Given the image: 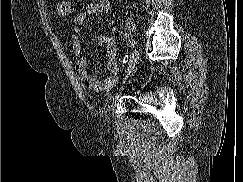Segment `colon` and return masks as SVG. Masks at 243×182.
<instances>
[{
	"label": "colon",
	"mask_w": 243,
	"mask_h": 182,
	"mask_svg": "<svg viewBox=\"0 0 243 182\" xmlns=\"http://www.w3.org/2000/svg\"><path fill=\"white\" fill-rule=\"evenodd\" d=\"M57 14L61 17H69L73 13V6L70 2H59L56 5Z\"/></svg>",
	"instance_id": "colon-1"
}]
</instances>
